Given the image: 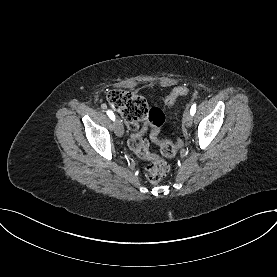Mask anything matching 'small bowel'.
Returning a JSON list of instances; mask_svg holds the SVG:
<instances>
[{
    "mask_svg": "<svg viewBox=\"0 0 277 277\" xmlns=\"http://www.w3.org/2000/svg\"><path fill=\"white\" fill-rule=\"evenodd\" d=\"M148 124L147 123H145L144 125H143V127L141 128V132H144V131H146L147 130V128H148Z\"/></svg>",
    "mask_w": 277,
    "mask_h": 277,
    "instance_id": "obj_1",
    "label": "small bowel"
}]
</instances>
